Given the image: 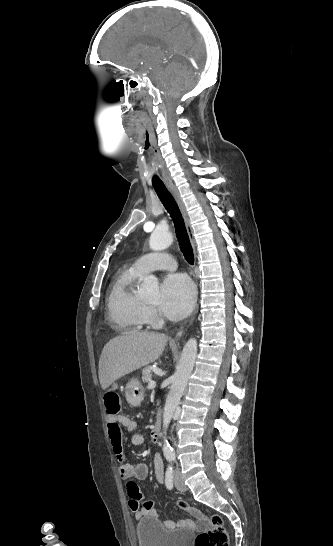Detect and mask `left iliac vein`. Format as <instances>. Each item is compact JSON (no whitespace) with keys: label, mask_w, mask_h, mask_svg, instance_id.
Masks as SVG:
<instances>
[{"label":"left iliac vein","mask_w":333,"mask_h":546,"mask_svg":"<svg viewBox=\"0 0 333 546\" xmlns=\"http://www.w3.org/2000/svg\"><path fill=\"white\" fill-rule=\"evenodd\" d=\"M174 483H175V487L179 491H186L187 490V487L184 484V481L182 479L181 472L178 469L175 471V474H174Z\"/></svg>","instance_id":"obj_1"}]
</instances>
